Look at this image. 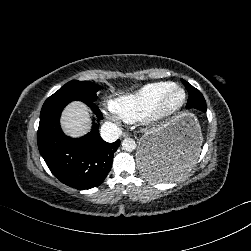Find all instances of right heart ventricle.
<instances>
[{"mask_svg":"<svg viewBox=\"0 0 251 251\" xmlns=\"http://www.w3.org/2000/svg\"><path fill=\"white\" fill-rule=\"evenodd\" d=\"M170 84L171 82H155L144 85L133 94L119 99L117 108L127 120L146 116Z\"/></svg>","mask_w":251,"mask_h":251,"instance_id":"obj_1","label":"right heart ventricle"}]
</instances>
